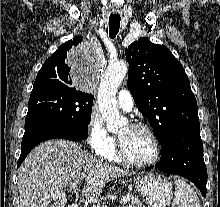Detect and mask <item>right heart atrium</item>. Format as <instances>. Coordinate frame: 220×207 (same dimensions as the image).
I'll return each instance as SVG.
<instances>
[{
	"instance_id": "1",
	"label": "right heart atrium",
	"mask_w": 220,
	"mask_h": 207,
	"mask_svg": "<svg viewBox=\"0 0 220 207\" xmlns=\"http://www.w3.org/2000/svg\"><path fill=\"white\" fill-rule=\"evenodd\" d=\"M87 140L91 149L97 154L105 151L115 143L114 137L105 127L103 118L95 109L91 111L88 119Z\"/></svg>"
}]
</instances>
